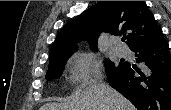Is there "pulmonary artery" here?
<instances>
[{"label": "pulmonary artery", "instance_id": "e3ab8cb5", "mask_svg": "<svg viewBox=\"0 0 171 110\" xmlns=\"http://www.w3.org/2000/svg\"><path fill=\"white\" fill-rule=\"evenodd\" d=\"M115 44L120 45V41L116 40ZM114 51L118 56H123L125 54V51L123 49L114 47Z\"/></svg>", "mask_w": 171, "mask_h": 110}]
</instances>
